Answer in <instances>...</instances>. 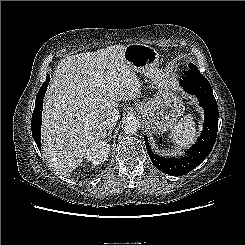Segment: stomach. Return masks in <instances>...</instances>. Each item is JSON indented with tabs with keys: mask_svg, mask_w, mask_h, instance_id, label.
<instances>
[{
	"mask_svg": "<svg viewBox=\"0 0 245 245\" xmlns=\"http://www.w3.org/2000/svg\"><path fill=\"white\" fill-rule=\"evenodd\" d=\"M124 58L134 72L145 75L158 88L154 97L137 105L136 111L152 132L171 130L183 115L185 106L172 79L157 68L158 52L151 46L135 43L126 47Z\"/></svg>",
	"mask_w": 245,
	"mask_h": 245,
	"instance_id": "0dacf381",
	"label": "stomach"
}]
</instances>
